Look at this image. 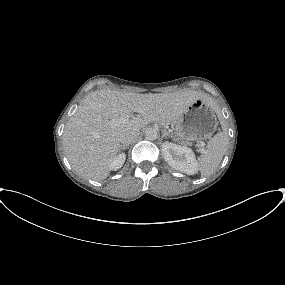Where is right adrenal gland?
Instances as JSON below:
<instances>
[{
  "label": "right adrenal gland",
  "instance_id": "right-adrenal-gland-1",
  "mask_svg": "<svg viewBox=\"0 0 285 285\" xmlns=\"http://www.w3.org/2000/svg\"><path fill=\"white\" fill-rule=\"evenodd\" d=\"M128 148H129V145H121V146H120V149H121V150H123V149H128Z\"/></svg>",
  "mask_w": 285,
  "mask_h": 285
}]
</instances>
